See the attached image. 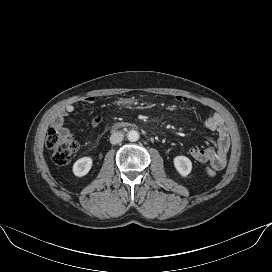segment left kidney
<instances>
[{
    "mask_svg": "<svg viewBox=\"0 0 272 272\" xmlns=\"http://www.w3.org/2000/svg\"><path fill=\"white\" fill-rule=\"evenodd\" d=\"M173 161L176 170L181 176L186 177L190 174L192 170V162L188 157L176 156Z\"/></svg>",
    "mask_w": 272,
    "mask_h": 272,
    "instance_id": "obj_1",
    "label": "left kidney"
}]
</instances>
